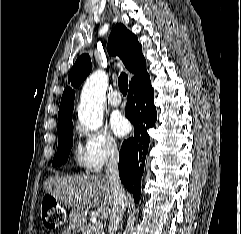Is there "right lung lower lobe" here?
Here are the masks:
<instances>
[{
  "label": "right lung lower lobe",
  "instance_id": "obj_1",
  "mask_svg": "<svg viewBox=\"0 0 241 234\" xmlns=\"http://www.w3.org/2000/svg\"><path fill=\"white\" fill-rule=\"evenodd\" d=\"M125 116L134 125V136L125 140L119 153V176L135 202L141 193V178L148 152L150 137L147 129L157 118L154 90L148 73L129 85Z\"/></svg>",
  "mask_w": 241,
  "mask_h": 234
}]
</instances>
